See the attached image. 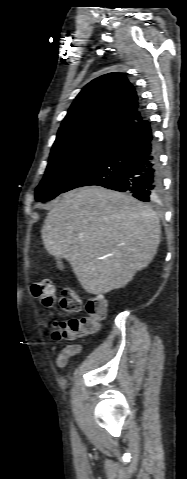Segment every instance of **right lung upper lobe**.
<instances>
[{
  "mask_svg": "<svg viewBox=\"0 0 187 479\" xmlns=\"http://www.w3.org/2000/svg\"><path fill=\"white\" fill-rule=\"evenodd\" d=\"M141 105L128 79L119 73L102 75L78 94L58 134L91 125H107L125 131L142 119Z\"/></svg>",
  "mask_w": 187,
  "mask_h": 479,
  "instance_id": "1",
  "label": "right lung upper lobe"
}]
</instances>
